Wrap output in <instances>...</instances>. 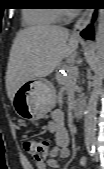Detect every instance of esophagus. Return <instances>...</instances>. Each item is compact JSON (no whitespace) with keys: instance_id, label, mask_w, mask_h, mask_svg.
Segmentation results:
<instances>
[{"instance_id":"esophagus-1","label":"esophagus","mask_w":104,"mask_h":169,"mask_svg":"<svg viewBox=\"0 0 104 169\" xmlns=\"http://www.w3.org/2000/svg\"><path fill=\"white\" fill-rule=\"evenodd\" d=\"M93 15L92 9H87L83 12L80 18L76 21L73 31L75 34H79L83 29L89 24L91 17Z\"/></svg>"}]
</instances>
